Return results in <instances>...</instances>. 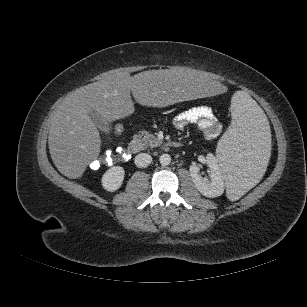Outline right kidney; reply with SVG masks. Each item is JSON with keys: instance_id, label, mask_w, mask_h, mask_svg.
<instances>
[{"instance_id": "ca27d5eb", "label": "right kidney", "mask_w": 307, "mask_h": 307, "mask_svg": "<svg viewBox=\"0 0 307 307\" xmlns=\"http://www.w3.org/2000/svg\"><path fill=\"white\" fill-rule=\"evenodd\" d=\"M125 171L121 166H113L102 176V186L109 192L118 190L124 180Z\"/></svg>"}]
</instances>
